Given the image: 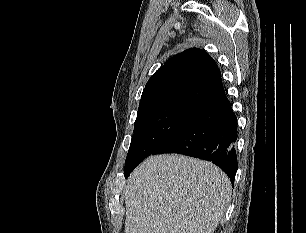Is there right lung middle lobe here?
<instances>
[{
    "instance_id": "obj_1",
    "label": "right lung middle lobe",
    "mask_w": 306,
    "mask_h": 233,
    "mask_svg": "<svg viewBox=\"0 0 306 233\" xmlns=\"http://www.w3.org/2000/svg\"><path fill=\"white\" fill-rule=\"evenodd\" d=\"M202 108L180 99L159 100L139 107L125 161V176Z\"/></svg>"
}]
</instances>
